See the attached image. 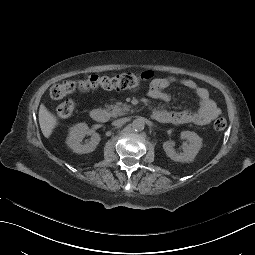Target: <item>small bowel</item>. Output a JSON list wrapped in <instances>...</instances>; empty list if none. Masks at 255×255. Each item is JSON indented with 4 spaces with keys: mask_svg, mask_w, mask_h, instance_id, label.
I'll use <instances>...</instances> for the list:
<instances>
[{
    "mask_svg": "<svg viewBox=\"0 0 255 255\" xmlns=\"http://www.w3.org/2000/svg\"><path fill=\"white\" fill-rule=\"evenodd\" d=\"M175 83L185 86L197 95L199 99V109L194 112H169L171 114V123H192L200 126L207 125L220 113V109L211 98L209 91L191 79H180L174 76L156 78L150 83L148 94L154 99L167 98L168 96L163 92V89Z\"/></svg>",
    "mask_w": 255,
    "mask_h": 255,
    "instance_id": "c3829d8e",
    "label": "small bowel"
}]
</instances>
